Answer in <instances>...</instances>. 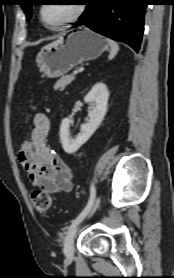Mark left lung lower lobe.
Instances as JSON below:
<instances>
[{"mask_svg":"<svg viewBox=\"0 0 174 278\" xmlns=\"http://www.w3.org/2000/svg\"><path fill=\"white\" fill-rule=\"evenodd\" d=\"M84 4L86 9L76 27L87 26L139 51L147 0H85Z\"/></svg>","mask_w":174,"mask_h":278,"instance_id":"1","label":"left lung lower lobe"}]
</instances>
